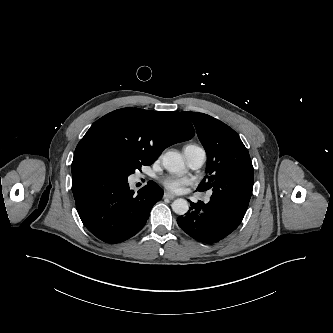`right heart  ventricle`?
Wrapping results in <instances>:
<instances>
[{"label": "right heart ventricle", "mask_w": 333, "mask_h": 333, "mask_svg": "<svg viewBox=\"0 0 333 333\" xmlns=\"http://www.w3.org/2000/svg\"><path fill=\"white\" fill-rule=\"evenodd\" d=\"M189 147H195V145H187V146L185 147V149H186V148H189Z\"/></svg>", "instance_id": "right-heart-ventricle-1"}]
</instances>
